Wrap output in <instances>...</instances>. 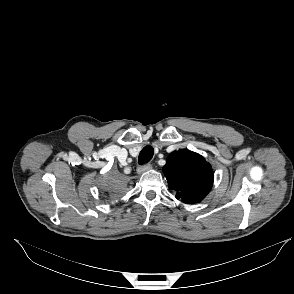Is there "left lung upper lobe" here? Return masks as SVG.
Masks as SVG:
<instances>
[{"label":"left lung upper lobe","mask_w":294,"mask_h":294,"mask_svg":"<svg viewBox=\"0 0 294 294\" xmlns=\"http://www.w3.org/2000/svg\"><path fill=\"white\" fill-rule=\"evenodd\" d=\"M163 172L176 198L185 203L201 201L211 190L213 171L211 165L199 154L179 150L171 153Z\"/></svg>","instance_id":"obj_1"}]
</instances>
